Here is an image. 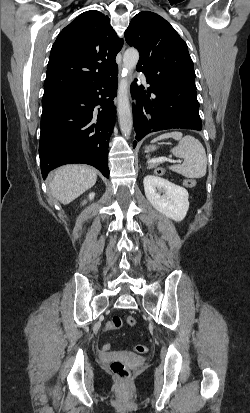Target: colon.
Masks as SVG:
<instances>
[{
	"label": "colon",
	"instance_id": "colon-1",
	"mask_svg": "<svg viewBox=\"0 0 250 413\" xmlns=\"http://www.w3.org/2000/svg\"><path fill=\"white\" fill-rule=\"evenodd\" d=\"M164 173H165V170L163 168H157L155 170V175L157 177H162ZM182 184L191 188L196 185V181L193 179L183 180ZM135 323H136V320L133 316H125V317L116 316L112 320H106L104 323V326L106 329L112 330V329H119L124 325L131 327V326H134ZM101 333L105 334L106 330L102 329ZM110 348H111V343H109L108 341H105L102 344L101 349L103 352L106 353L110 351ZM134 350L137 353L143 354L147 352L148 348L145 345L138 344L134 346ZM110 371L115 376V378L120 382H126L130 377L129 368L126 366V364L123 361L118 360V359L111 361Z\"/></svg>",
	"mask_w": 250,
	"mask_h": 413
}]
</instances>
